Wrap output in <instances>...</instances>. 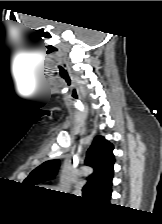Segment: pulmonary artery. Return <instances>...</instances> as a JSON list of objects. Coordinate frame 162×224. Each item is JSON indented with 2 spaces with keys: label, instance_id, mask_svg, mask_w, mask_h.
<instances>
[{
  "label": "pulmonary artery",
  "instance_id": "obj_1",
  "mask_svg": "<svg viewBox=\"0 0 162 224\" xmlns=\"http://www.w3.org/2000/svg\"><path fill=\"white\" fill-rule=\"evenodd\" d=\"M79 189H80V186L77 185V186L75 187V191H79Z\"/></svg>",
  "mask_w": 162,
  "mask_h": 224
}]
</instances>
